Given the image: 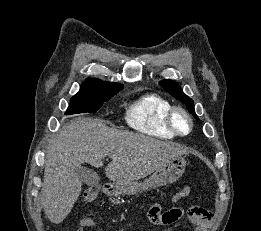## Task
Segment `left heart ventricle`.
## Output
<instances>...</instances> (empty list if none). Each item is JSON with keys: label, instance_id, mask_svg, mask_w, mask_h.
<instances>
[{"label": "left heart ventricle", "instance_id": "left-heart-ventricle-1", "mask_svg": "<svg viewBox=\"0 0 261 231\" xmlns=\"http://www.w3.org/2000/svg\"><path fill=\"white\" fill-rule=\"evenodd\" d=\"M176 125L181 132H186L189 129V123L183 115H177Z\"/></svg>", "mask_w": 261, "mask_h": 231}]
</instances>
